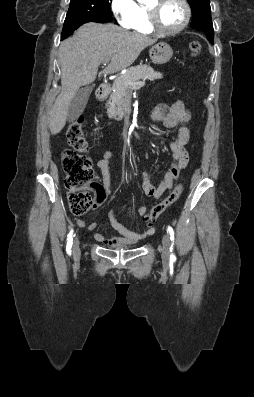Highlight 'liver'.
<instances>
[{
	"label": "liver",
	"instance_id": "6515ba94",
	"mask_svg": "<svg viewBox=\"0 0 254 397\" xmlns=\"http://www.w3.org/2000/svg\"><path fill=\"white\" fill-rule=\"evenodd\" d=\"M156 38L129 32L113 24L86 23L59 47L61 92L52 106L49 129L58 134L65 126L70 102L79 88L92 83L98 67L106 59L110 64L103 74H111L132 65L142 50Z\"/></svg>",
	"mask_w": 254,
	"mask_h": 397
}]
</instances>
